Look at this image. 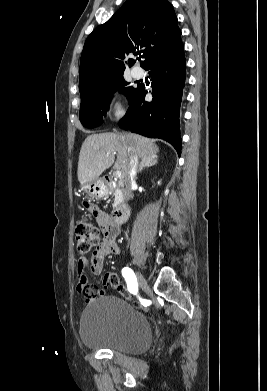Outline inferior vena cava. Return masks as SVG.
Returning a JSON list of instances; mask_svg holds the SVG:
<instances>
[{"mask_svg": "<svg viewBox=\"0 0 267 391\" xmlns=\"http://www.w3.org/2000/svg\"><path fill=\"white\" fill-rule=\"evenodd\" d=\"M138 166V156L134 153H131L129 157V163L127 166V174L124 178V184L126 191L130 192L132 184L135 182V177L137 173Z\"/></svg>", "mask_w": 267, "mask_h": 391, "instance_id": "602c4592", "label": "inferior vena cava"}]
</instances>
